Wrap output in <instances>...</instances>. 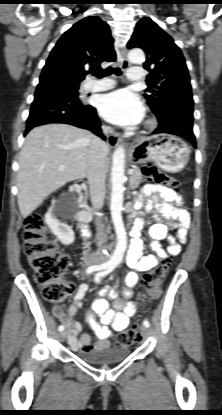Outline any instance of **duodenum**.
Instances as JSON below:
<instances>
[{"label": "duodenum", "instance_id": "obj_1", "mask_svg": "<svg viewBox=\"0 0 222 415\" xmlns=\"http://www.w3.org/2000/svg\"><path fill=\"white\" fill-rule=\"evenodd\" d=\"M90 220V213L87 210H81L79 214V224L84 235L89 234L88 222Z\"/></svg>", "mask_w": 222, "mask_h": 415}]
</instances>
